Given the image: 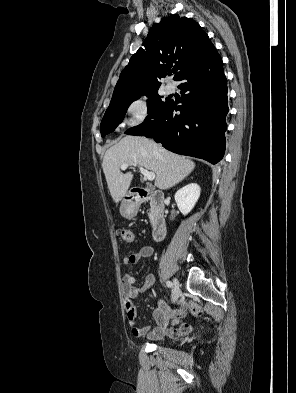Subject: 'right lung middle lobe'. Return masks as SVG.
Listing matches in <instances>:
<instances>
[{"label": "right lung middle lobe", "mask_w": 296, "mask_h": 393, "mask_svg": "<svg viewBox=\"0 0 296 393\" xmlns=\"http://www.w3.org/2000/svg\"><path fill=\"white\" fill-rule=\"evenodd\" d=\"M142 94L148 96V116L146 120L154 118L165 107L170 99L166 98L165 101H162L161 96L158 94V88H156L138 93L129 98L111 101L100 125L102 137L115 130V128L122 122L129 105L133 101L139 99Z\"/></svg>", "instance_id": "dd1d6c3e"}]
</instances>
